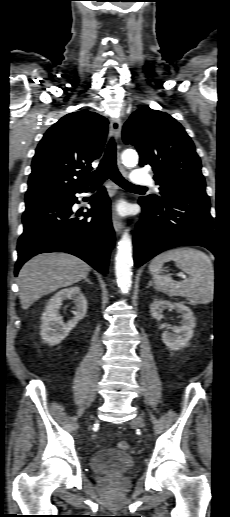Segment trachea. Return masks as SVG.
Returning <instances> with one entry per match:
<instances>
[{"instance_id": "obj_1", "label": "trachea", "mask_w": 230, "mask_h": 517, "mask_svg": "<svg viewBox=\"0 0 230 517\" xmlns=\"http://www.w3.org/2000/svg\"><path fill=\"white\" fill-rule=\"evenodd\" d=\"M112 179L116 184L125 188H146L144 186L133 185L122 177L118 171L116 164V146L114 139H110L107 144L103 159L101 160L97 170L93 172V186L101 185L106 179Z\"/></svg>"}]
</instances>
